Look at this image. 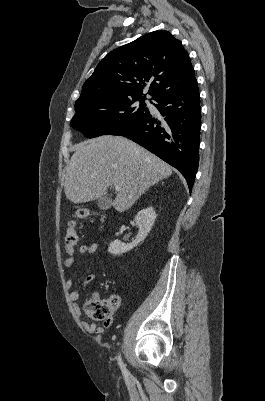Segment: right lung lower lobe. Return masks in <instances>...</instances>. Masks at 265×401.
<instances>
[{"instance_id":"right-lung-lower-lobe-1","label":"right lung lower lobe","mask_w":265,"mask_h":401,"mask_svg":"<svg viewBox=\"0 0 265 401\" xmlns=\"http://www.w3.org/2000/svg\"><path fill=\"white\" fill-rule=\"evenodd\" d=\"M199 98L197 82L181 92L164 95L155 99L163 120L149 114L112 135L133 140L178 169L191 192L199 164Z\"/></svg>"}]
</instances>
